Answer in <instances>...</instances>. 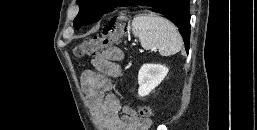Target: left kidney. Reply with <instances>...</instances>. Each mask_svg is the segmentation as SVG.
<instances>
[{
    "mask_svg": "<svg viewBox=\"0 0 257 130\" xmlns=\"http://www.w3.org/2000/svg\"><path fill=\"white\" fill-rule=\"evenodd\" d=\"M169 69L161 64H144L138 73L140 97L148 95L155 89L165 78Z\"/></svg>",
    "mask_w": 257,
    "mask_h": 130,
    "instance_id": "1",
    "label": "left kidney"
}]
</instances>
